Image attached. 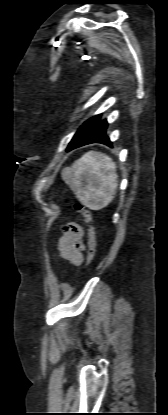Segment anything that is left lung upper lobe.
Here are the masks:
<instances>
[{"label": "left lung upper lobe", "instance_id": "obj_1", "mask_svg": "<svg viewBox=\"0 0 168 415\" xmlns=\"http://www.w3.org/2000/svg\"><path fill=\"white\" fill-rule=\"evenodd\" d=\"M97 116L92 117L91 119H89L88 121H86L79 129L78 131L75 133L74 137L72 138L71 142L69 143V147H71L75 141L85 132V130H87V128L91 125V123L95 120Z\"/></svg>", "mask_w": 168, "mask_h": 415}]
</instances>
